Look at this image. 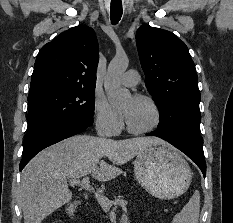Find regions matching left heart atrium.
<instances>
[{
    "label": "left heart atrium",
    "mask_w": 233,
    "mask_h": 223,
    "mask_svg": "<svg viewBox=\"0 0 233 223\" xmlns=\"http://www.w3.org/2000/svg\"><path fill=\"white\" fill-rule=\"evenodd\" d=\"M131 107L127 108L125 111L122 112L123 118L125 119V121H128V119L131 116Z\"/></svg>",
    "instance_id": "obj_1"
}]
</instances>
